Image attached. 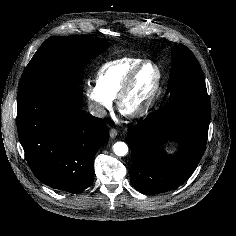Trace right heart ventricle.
Here are the masks:
<instances>
[{
  "mask_svg": "<svg viewBox=\"0 0 236 236\" xmlns=\"http://www.w3.org/2000/svg\"><path fill=\"white\" fill-rule=\"evenodd\" d=\"M143 61L145 59L140 57H123L107 62L97 72L96 83L111 99H115L129 72Z\"/></svg>",
  "mask_w": 236,
  "mask_h": 236,
  "instance_id": "1",
  "label": "right heart ventricle"
}]
</instances>
